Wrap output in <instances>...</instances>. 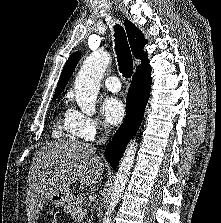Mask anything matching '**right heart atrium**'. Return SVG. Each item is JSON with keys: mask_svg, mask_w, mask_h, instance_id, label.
Segmentation results:
<instances>
[{"mask_svg": "<svg viewBox=\"0 0 221 223\" xmlns=\"http://www.w3.org/2000/svg\"><path fill=\"white\" fill-rule=\"evenodd\" d=\"M69 113L73 133L79 138L91 140L99 132L107 130L99 120L88 117L77 109L71 108Z\"/></svg>", "mask_w": 221, "mask_h": 223, "instance_id": "1", "label": "right heart atrium"}]
</instances>
